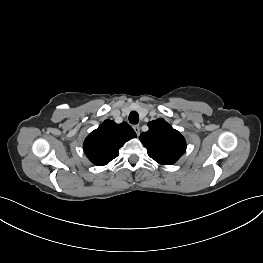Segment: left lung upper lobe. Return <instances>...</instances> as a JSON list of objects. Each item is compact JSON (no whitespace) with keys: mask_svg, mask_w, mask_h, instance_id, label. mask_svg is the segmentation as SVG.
I'll return each instance as SVG.
<instances>
[{"mask_svg":"<svg viewBox=\"0 0 263 263\" xmlns=\"http://www.w3.org/2000/svg\"><path fill=\"white\" fill-rule=\"evenodd\" d=\"M148 126L149 130L140 135L148 155L162 165L175 163L186 150L184 137L164 119L151 121Z\"/></svg>","mask_w":263,"mask_h":263,"instance_id":"5c2ea615","label":"left lung upper lobe"}]
</instances>
